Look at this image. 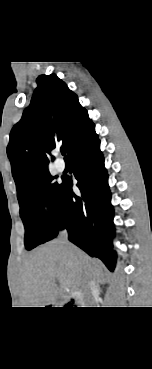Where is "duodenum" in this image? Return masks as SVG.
<instances>
[{"label": "duodenum", "mask_w": 152, "mask_h": 369, "mask_svg": "<svg viewBox=\"0 0 152 369\" xmlns=\"http://www.w3.org/2000/svg\"><path fill=\"white\" fill-rule=\"evenodd\" d=\"M72 298L77 300V301H80V302L83 301V295L80 292H77V291L72 293Z\"/></svg>", "instance_id": "duodenum-1"}]
</instances>
